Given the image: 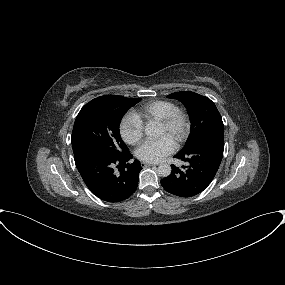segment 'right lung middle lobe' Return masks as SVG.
<instances>
[{
  "instance_id": "obj_1",
  "label": "right lung middle lobe",
  "mask_w": 285,
  "mask_h": 285,
  "mask_svg": "<svg viewBox=\"0 0 285 285\" xmlns=\"http://www.w3.org/2000/svg\"><path fill=\"white\" fill-rule=\"evenodd\" d=\"M140 100L104 95L87 103L74 123L71 138L73 152L85 149L111 155L129 152L120 137L119 126L124 114Z\"/></svg>"
}]
</instances>
